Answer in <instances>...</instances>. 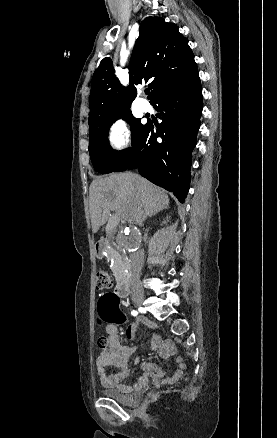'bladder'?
Segmentation results:
<instances>
[{
  "label": "bladder",
  "instance_id": "bladder-1",
  "mask_svg": "<svg viewBox=\"0 0 277 438\" xmlns=\"http://www.w3.org/2000/svg\"><path fill=\"white\" fill-rule=\"evenodd\" d=\"M100 394L105 396L106 399L122 405L132 404L134 402V397H135L133 392L126 393L119 388H113V387L102 389Z\"/></svg>",
  "mask_w": 277,
  "mask_h": 438
}]
</instances>
